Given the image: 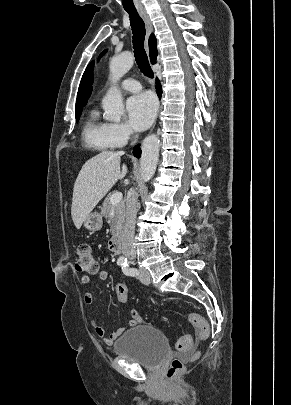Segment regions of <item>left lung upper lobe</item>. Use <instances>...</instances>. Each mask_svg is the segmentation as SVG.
<instances>
[{
    "label": "left lung upper lobe",
    "instance_id": "obj_1",
    "mask_svg": "<svg viewBox=\"0 0 291 405\" xmlns=\"http://www.w3.org/2000/svg\"><path fill=\"white\" fill-rule=\"evenodd\" d=\"M104 53H105V51H104L101 55H103ZM101 55H100V56H101Z\"/></svg>",
    "mask_w": 291,
    "mask_h": 405
}]
</instances>
